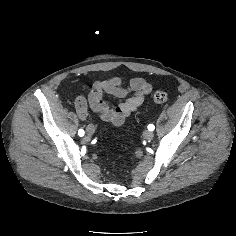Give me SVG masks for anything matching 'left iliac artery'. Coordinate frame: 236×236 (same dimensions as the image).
<instances>
[{
	"label": "left iliac artery",
	"instance_id": "44dca946",
	"mask_svg": "<svg viewBox=\"0 0 236 236\" xmlns=\"http://www.w3.org/2000/svg\"><path fill=\"white\" fill-rule=\"evenodd\" d=\"M155 129V126L153 124L148 125V130L153 131Z\"/></svg>",
	"mask_w": 236,
	"mask_h": 236
}]
</instances>
